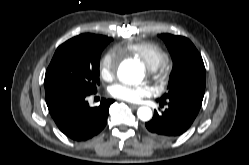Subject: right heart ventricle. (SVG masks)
Instances as JSON below:
<instances>
[{
	"instance_id": "right-heart-ventricle-1",
	"label": "right heart ventricle",
	"mask_w": 249,
	"mask_h": 165,
	"mask_svg": "<svg viewBox=\"0 0 249 165\" xmlns=\"http://www.w3.org/2000/svg\"><path fill=\"white\" fill-rule=\"evenodd\" d=\"M127 50L140 58L150 70H155L168 61V53L153 42L132 43Z\"/></svg>"
}]
</instances>
